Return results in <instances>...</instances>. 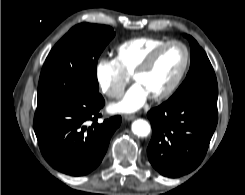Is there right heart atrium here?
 <instances>
[{
  "mask_svg": "<svg viewBox=\"0 0 245 195\" xmlns=\"http://www.w3.org/2000/svg\"><path fill=\"white\" fill-rule=\"evenodd\" d=\"M95 79L100 91L111 99L120 98L128 81L115 58H100L95 64Z\"/></svg>",
  "mask_w": 245,
  "mask_h": 195,
  "instance_id": "right-heart-atrium-1",
  "label": "right heart atrium"
}]
</instances>
